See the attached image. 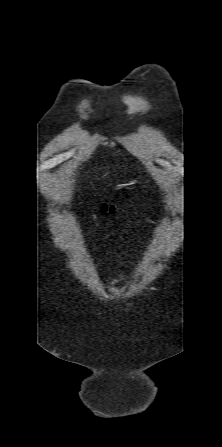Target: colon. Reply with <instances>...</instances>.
Instances as JSON below:
<instances>
[{
    "label": "colon",
    "mask_w": 222,
    "mask_h": 447,
    "mask_svg": "<svg viewBox=\"0 0 222 447\" xmlns=\"http://www.w3.org/2000/svg\"><path fill=\"white\" fill-rule=\"evenodd\" d=\"M103 211L109 214H114L115 213V208L113 205H104L102 207Z\"/></svg>",
    "instance_id": "5ec220e1"
}]
</instances>
